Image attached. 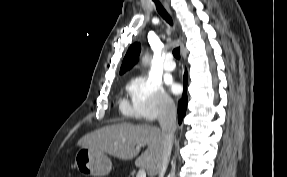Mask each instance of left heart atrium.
Listing matches in <instances>:
<instances>
[{
  "label": "left heart atrium",
  "mask_w": 287,
  "mask_h": 177,
  "mask_svg": "<svg viewBox=\"0 0 287 177\" xmlns=\"http://www.w3.org/2000/svg\"><path fill=\"white\" fill-rule=\"evenodd\" d=\"M168 85L173 93H178L180 91V86L172 79L168 80Z\"/></svg>",
  "instance_id": "1"
}]
</instances>
